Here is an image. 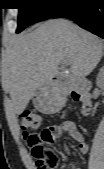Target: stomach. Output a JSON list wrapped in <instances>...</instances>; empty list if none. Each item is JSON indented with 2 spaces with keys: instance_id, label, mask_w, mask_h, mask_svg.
<instances>
[{
  "instance_id": "obj_1",
  "label": "stomach",
  "mask_w": 104,
  "mask_h": 169,
  "mask_svg": "<svg viewBox=\"0 0 104 169\" xmlns=\"http://www.w3.org/2000/svg\"><path fill=\"white\" fill-rule=\"evenodd\" d=\"M58 95L51 83L41 87L36 93L33 103L35 107L44 113L56 110Z\"/></svg>"
}]
</instances>
